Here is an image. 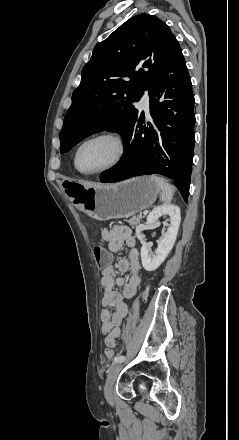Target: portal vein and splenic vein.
<instances>
[{
	"instance_id": "18ae733b",
	"label": "portal vein and splenic vein",
	"mask_w": 239,
	"mask_h": 440,
	"mask_svg": "<svg viewBox=\"0 0 239 440\" xmlns=\"http://www.w3.org/2000/svg\"><path fill=\"white\" fill-rule=\"evenodd\" d=\"M149 210L148 209H146L145 211H144V215H147Z\"/></svg>"
}]
</instances>
